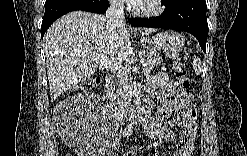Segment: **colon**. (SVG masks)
Returning <instances> with one entry per match:
<instances>
[{
    "instance_id": "1",
    "label": "colon",
    "mask_w": 247,
    "mask_h": 156,
    "mask_svg": "<svg viewBox=\"0 0 247 156\" xmlns=\"http://www.w3.org/2000/svg\"><path fill=\"white\" fill-rule=\"evenodd\" d=\"M174 70H175V76L178 80V83L181 87V89L184 91V92H189L187 93V96H188V100L190 101V104L191 105H194L193 104V101H194V95L192 92H190V89H191V82H190V79L188 77V74L186 72V70L184 68H182L180 65L176 64L174 66ZM99 84V79L98 78H93V79H90L89 81H87L81 88H80V94H83V93H87L89 92L90 90H92L93 88H95L97 85ZM74 109L73 110H70L68 113H65L63 115V120L66 122V123H69L71 118H70V115L74 114ZM63 156H69V154L65 153L63 154Z\"/></svg>"
}]
</instances>
